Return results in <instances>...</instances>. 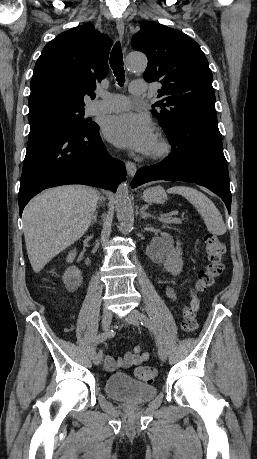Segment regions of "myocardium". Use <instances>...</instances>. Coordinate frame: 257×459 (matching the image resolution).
<instances>
[{"mask_svg": "<svg viewBox=\"0 0 257 459\" xmlns=\"http://www.w3.org/2000/svg\"><path fill=\"white\" fill-rule=\"evenodd\" d=\"M171 151L170 142L162 134H158L156 148L148 154V157L153 161H161L166 159Z\"/></svg>", "mask_w": 257, "mask_h": 459, "instance_id": "1", "label": "myocardium"}]
</instances>
